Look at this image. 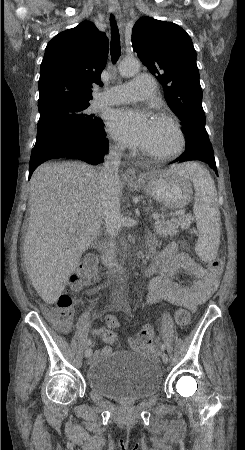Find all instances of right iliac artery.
I'll return each mask as SVG.
<instances>
[{"label": "right iliac artery", "instance_id": "obj_1", "mask_svg": "<svg viewBox=\"0 0 245 450\" xmlns=\"http://www.w3.org/2000/svg\"><path fill=\"white\" fill-rule=\"evenodd\" d=\"M91 343H92V341H91V339H89V340L87 341V346L91 345Z\"/></svg>", "mask_w": 245, "mask_h": 450}]
</instances>
